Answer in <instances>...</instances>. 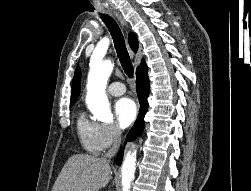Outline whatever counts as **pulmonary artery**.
I'll return each instance as SVG.
<instances>
[{
  "label": "pulmonary artery",
  "mask_w": 251,
  "mask_h": 191,
  "mask_svg": "<svg viewBox=\"0 0 251 191\" xmlns=\"http://www.w3.org/2000/svg\"><path fill=\"white\" fill-rule=\"evenodd\" d=\"M108 91L111 95L120 96L126 92V86L121 82H113L109 85Z\"/></svg>",
  "instance_id": "pulmonary-artery-1"
}]
</instances>
